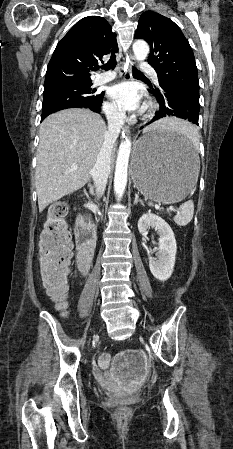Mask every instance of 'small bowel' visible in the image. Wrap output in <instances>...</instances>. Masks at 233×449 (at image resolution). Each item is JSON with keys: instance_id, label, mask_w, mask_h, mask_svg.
<instances>
[{"instance_id": "c3829d8e", "label": "small bowel", "mask_w": 233, "mask_h": 449, "mask_svg": "<svg viewBox=\"0 0 233 449\" xmlns=\"http://www.w3.org/2000/svg\"><path fill=\"white\" fill-rule=\"evenodd\" d=\"M149 359L148 354H141L140 347H125L124 354H115V363H110L108 354H102L98 362L106 368L107 377H115L113 394H133L145 375Z\"/></svg>"}]
</instances>
